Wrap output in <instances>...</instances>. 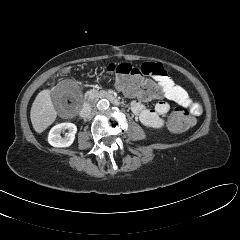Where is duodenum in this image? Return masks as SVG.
Listing matches in <instances>:
<instances>
[{"mask_svg":"<svg viewBox=\"0 0 240 240\" xmlns=\"http://www.w3.org/2000/svg\"><path fill=\"white\" fill-rule=\"evenodd\" d=\"M96 99H107L114 104L119 103V100L117 99V97L110 92L102 91V92H96V93H89L86 96L84 104H83L82 109L80 111V116L81 117H86L88 115V113L90 111V108H91V105L93 104V102Z\"/></svg>","mask_w":240,"mask_h":240,"instance_id":"duodenum-1","label":"duodenum"}]
</instances>
